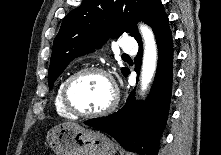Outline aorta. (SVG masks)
I'll return each instance as SVG.
<instances>
[{
  "label": "aorta",
  "mask_w": 221,
  "mask_h": 155,
  "mask_svg": "<svg viewBox=\"0 0 221 155\" xmlns=\"http://www.w3.org/2000/svg\"><path fill=\"white\" fill-rule=\"evenodd\" d=\"M144 39V54L141 72V89L144 91L151 82L157 66V45L152 30L144 25H139Z\"/></svg>",
  "instance_id": "1"
}]
</instances>
